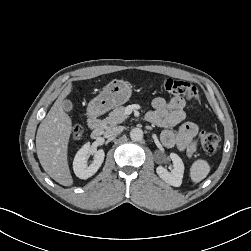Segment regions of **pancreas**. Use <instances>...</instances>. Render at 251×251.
<instances>
[{
    "instance_id": "1",
    "label": "pancreas",
    "mask_w": 251,
    "mask_h": 251,
    "mask_svg": "<svg viewBox=\"0 0 251 251\" xmlns=\"http://www.w3.org/2000/svg\"><path fill=\"white\" fill-rule=\"evenodd\" d=\"M127 117L128 116L125 114V107H117L113 111H111L109 113V116L102 121V126L104 128L116 126L127 119Z\"/></svg>"
}]
</instances>
